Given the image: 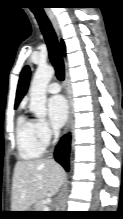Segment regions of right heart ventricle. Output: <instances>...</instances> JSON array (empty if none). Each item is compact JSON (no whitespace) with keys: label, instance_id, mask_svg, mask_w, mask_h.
Here are the masks:
<instances>
[{"label":"right heart ventricle","instance_id":"right-heart-ventricle-1","mask_svg":"<svg viewBox=\"0 0 123 219\" xmlns=\"http://www.w3.org/2000/svg\"><path fill=\"white\" fill-rule=\"evenodd\" d=\"M16 143L19 156L23 160H35L42 156L45 145L41 141L36 123L27 119L25 116H19L16 127Z\"/></svg>","mask_w":123,"mask_h":219}]
</instances>
